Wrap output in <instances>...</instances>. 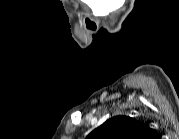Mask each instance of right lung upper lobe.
<instances>
[{"label": "right lung upper lobe", "instance_id": "1", "mask_svg": "<svg viewBox=\"0 0 179 139\" xmlns=\"http://www.w3.org/2000/svg\"><path fill=\"white\" fill-rule=\"evenodd\" d=\"M154 131L128 116H116L92 131L87 139H148Z\"/></svg>", "mask_w": 179, "mask_h": 139}]
</instances>
